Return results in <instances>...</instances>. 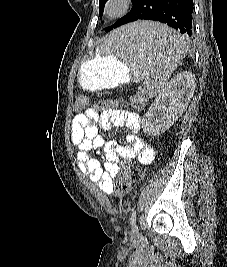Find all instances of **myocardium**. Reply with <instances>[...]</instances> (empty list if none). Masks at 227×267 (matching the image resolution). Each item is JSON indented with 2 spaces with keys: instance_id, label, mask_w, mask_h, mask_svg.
Masks as SVG:
<instances>
[{
  "instance_id": "f54148a6",
  "label": "myocardium",
  "mask_w": 227,
  "mask_h": 267,
  "mask_svg": "<svg viewBox=\"0 0 227 267\" xmlns=\"http://www.w3.org/2000/svg\"><path fill=\"white\" fill-rule=\"evenodd\" d=\"M132 2L133 0H106L103 16L109 20L119 19L130 11Z\"/></svg>"
}]
</instances>
